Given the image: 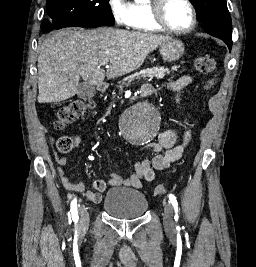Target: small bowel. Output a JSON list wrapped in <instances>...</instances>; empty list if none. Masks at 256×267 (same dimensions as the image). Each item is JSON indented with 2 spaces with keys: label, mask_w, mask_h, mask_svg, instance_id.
Instances as JSON below:
<instances>
[{
  "label": "small bowel",
  "mask_w": 256,
  "mask_h": 267,
  "mask_svg": "<svg viewBox=\"0 0 256 267\" xmlns=\"http://www.w3.org/2000/svg\"><path fill=\"white\" fill-rule=\"evenodd\" d=\"M192 81L191 76L183 75L180 78L169 82L167 89L173 93H179L185 86ZM144 95H150L152 89L145 86L142 89ZM187 128L183 135L181 144L176 145L177 134L173 128L166 129L161 132L157 141L148 145L147 150L156 152V155L151 159L138 160L135 163L134 171L129 176H123L118 173H111L108 183L101 179L94 180L92 183L93 190L85 192V197L93 202L100 203L102 201V194L107 190L108 185L111 187L129 186L133 188H140L143 182H152L155 177V171H160L168 168L173 162L179 160L183 154L185 147L191 140V129L186 122ZM81 143V137L75 136L72 139V148H76ZM164 152H161L164 150ZM55 162L57 163V174L61 180L64 188L70 192L81 193L84 192L86 184L84 181L73 182L65 173V165L67 163V156H60L54 153Z\"/></svg>",
  "instance_id": "small-bowel-1"
}]
</instances>
